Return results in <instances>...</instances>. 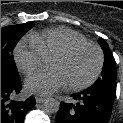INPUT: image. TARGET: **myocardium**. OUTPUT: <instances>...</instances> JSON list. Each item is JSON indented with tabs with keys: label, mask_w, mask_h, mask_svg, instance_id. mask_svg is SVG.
Here are the masks:
<instances>
[{
	"label": "myocardium",
	"mask_w": 123,
	"mask_h": 123,
	"mask_svg": "<svg viewBox=\"0 0 123 123\" xmlns=\"http://www.w3.org/2000/svg\"><path fill=\"white\" fill-rule=\"evenodd\" d=\"M85 47H91L97 52V55H98L97 67L94 73L92 74V76L86 81L82 83H78V84H68L67 87L73 91H80V90L86 89L90 87L93 83H95V81L99 78L104 67L105 58H104L103 50L98 44L91 41H85V42H80V43H75L73 45H70L67 48L53 55V57L67 58L71 56L72 54H74L76 51Z\"/></svg>",
	"instance_id": "obj_1"
}]
</instances>
